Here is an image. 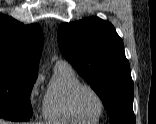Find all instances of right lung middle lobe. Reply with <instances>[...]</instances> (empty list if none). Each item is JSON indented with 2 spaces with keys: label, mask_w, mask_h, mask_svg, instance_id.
I'll list each match as a JSON object with an SVG mask.
<instances>
[{
  "label": "right lung middle lobe",
  "mask_w": 156,
  "mask_h": 124,
  "mask_svg": "<svg viewBox=\"0 0 156 124\" xmlns=\"http://www.w3.org/2000/svg\"><path fill=\"white\" fill-rule=\"evenodd\" d=\"M37 72L0 67V113L31 118L30 93Z\"/></svg>",
  "instance_id": "right-lung-middle-lobe-1"
}]
</instances>
